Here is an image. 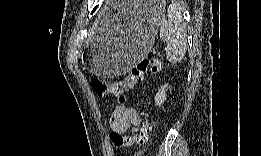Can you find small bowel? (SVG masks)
Here are the masks:
<instances>
[{"label": "small bowel", "instance_id": "1", "mask_svg": "<svg viewBox=\"0 0 261 156\" xmlns=\"http://www.w3.org/2000/svg\"><path fill=\"white\" fill-rule=\"evenodd\" d=\"M109 124L112 132L123 134L128 130H137L140 118L136 111L130 107L117 106L110 115Z\"/></svg>", "mask_w": 261, "mask_h": 156}]
</instances>
